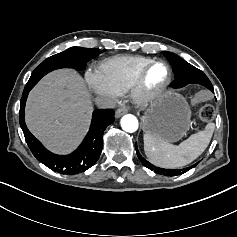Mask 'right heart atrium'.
<instances>
[{
  "label": "right heart atrium",
  "instance_id": "obj_1",
  "mask_svg": "<svg viewBox=\"0 0 237 237\" xmlns=\"http://www.w3.org/2000/svg\"><path fill=\"white\" fill-rule=\"evenodd\" d=\"M89 89L97 96L116 100L120 93L100 68L89 69L85 74Z\"/></svg>",
  "mask_w": 237,
  "mask_h": 237
}]
</instances>
